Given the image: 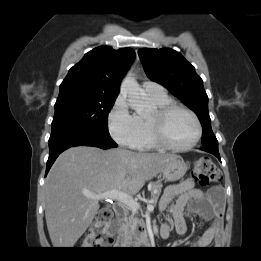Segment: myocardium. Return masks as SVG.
<instances>
[{"label": "myocardium", "mask_w": 261, "mask_h": 261, "mask_svg": "<svg viewBox=\"0 0 261 261\" xmlns=\"http://www.w3.org/2000/svg\"><path fill=\"white\" fill-rule=\"evenodd\" d=\"M175 110H182L188 113L192 117L196 126V135L194 139L184 146H177L170 143L164 134V122L168 115ZM148 125L154 143L158 147L169 151L184 152L190 150L198 144L202 136V125L197 114L185 105L175 102H170L164 106L154 108L148 115Z\"/></svg>", "instance_id": "f54148a6"}]
</instances>
